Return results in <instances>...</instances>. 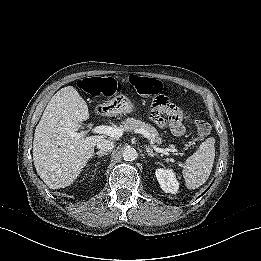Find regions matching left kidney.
Returning <instances> with one entry per match:
<instances>
[{"mask_svg":"<svg viewBox=\"0 0 261 261\" xmlns=\"http://www.w3.org/2000/svg\"><path fill=\"white\" fill-rule=\"evenodd\" d=\"M155 175L164 192L172 194L177 193L179 183L176 179V173L172 169L158 168L155 171Z\"/></svg>","mask_w":261,"mask_h":261,"instance_id":"5707ae66","label":"left kidney"}]
</instances>
